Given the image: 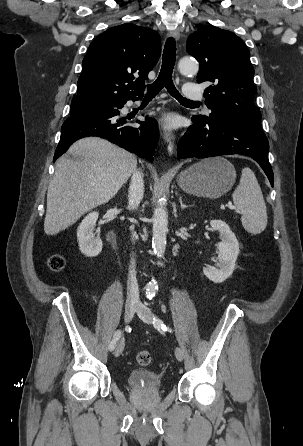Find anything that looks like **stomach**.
I'll list each match as a JSON object with an SVG mask.
<instances>
[{"instance_id":"obj_1","label":"stomach","mask_w":303,"mask_h":446,"mask_svg":"<svg viewBox=\"0 0 303 446\" xmlns=\"http://www.w3.org/2000/svg\"><path fill=\"white\" fill-rule=\"evenodd\" d=\"M236 180L232 163L223 157L201 160L182 171L177 182L186 193L208 198H218L228 192Z\"/></svg>"}]
</instances>
